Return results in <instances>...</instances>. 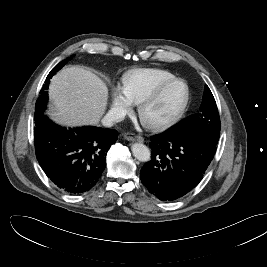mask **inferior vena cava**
<instances>
[{"label":"inferior vena cava","instance_id":"1","mask_svg":"<svg viewBox=\"0 0 267 267\" xmlns=\"http://www.w3.org/2000/svg\"><path fill=\"white\" fill-rule=\"evenodd\" d=\"M124 119V115L120 111H110L108 112L103 120L102 123L106 127H111L113 126L114 123L120 122Z\"/></svg>","mask_w":267,"mask_h":267}]
</instances>
